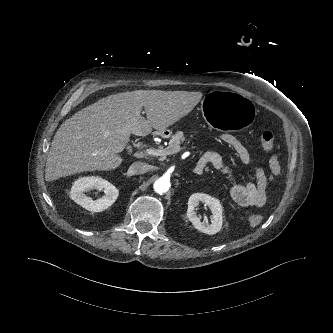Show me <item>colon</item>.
<instances>
[{
  "instance_id": "colon-1",
  "label": "colon",
  "mask_w": 333,
  "mask_h": 333,
  "mask_svg": "<svg viewBox=\"0 0 333 333\" xmlns=\"http://www.w3.org/2000/svg\"><path fill=\"white\" fill-rule=\"evenodd\" d=\"M274 134L270 131H265L261 134L260 136V148L264 151V152H268L270 150H272L273 146H274ZM263 220V216L261 214H252L249 217V222L252 225H258L262 222Z\"/></svg>"
}]
</instances>
